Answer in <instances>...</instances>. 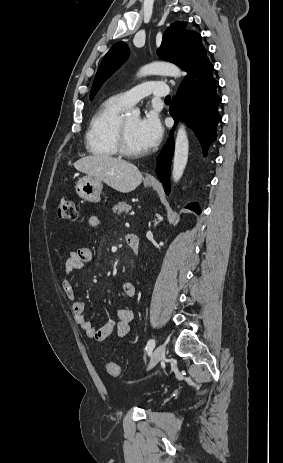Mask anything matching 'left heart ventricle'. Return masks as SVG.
Returning a JSON list of instances; mask_svg holds the SVG:
<instances>
[{
	"label": "left heart ventricle",
	"mask_w": 283,
	"mask_h": 463,
	"mask_svg": "<svg viewBox=\"0 0 283 463\" xmlns=\"http://www.w3.org/2000/svg\"><path fill=\"white\" fill-rule=\"evenodd\" d=\"M139 119L138 117H127L125 118L126 126V138L127 143L133 151L142 152L145 151L141 146L137 136V126Z\"/></svg>",
	"instance_id": "1"
}]
</instances>
